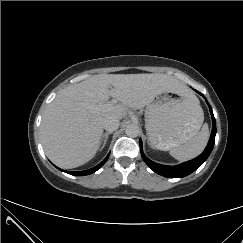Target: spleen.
Listing matches in <instances>:
<instances>
[{
	"label": "spleen",
	"instance_id": "spleen-1",
	"mask_svg": "<svg viewBox=\"0 0 243 243\" xmlns=\"http://www.w3.org/2000/svg\"><path fill=\"white\" fill-rule=\"evenodd\" d=\"M199 113L202 118L201 125L203 122V111L199 106ZM201 127V126H200ZM209 139V128L208 124L205 123L201 130L196 133L190 140L185 142L184 144L178 145L170 150V154L172 157L179 161H187L195 158L199 154L202 153L204 148L207 145Z\"/></svg>",
	"mask_w": 243,
	"mask_h": 243
}]
</instances>
